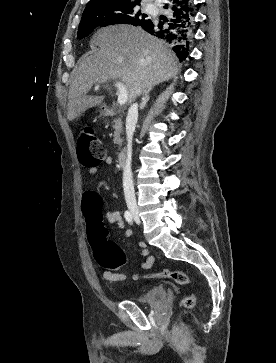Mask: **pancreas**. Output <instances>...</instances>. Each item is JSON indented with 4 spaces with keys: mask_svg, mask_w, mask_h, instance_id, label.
Masks as SVG:
<instances>
[{
    "mask_svg": "<svg viewBox=\"0 0 276 363\" xmlns=\"http://www.w3.org/2000/svg\"><path fill=\"white\" fill-rule=\"evenodd\" d=\"M113 129H114V144H116L118 147L122 146V138L121 134L123 133V127H122V121L120 118L113 120Z\"/></svg>",
    "mask_w": 276,
    "mask_h": 363,
    "instance_id": "cf45deb5",
    "label": "pancreas"
}]
</instances>
